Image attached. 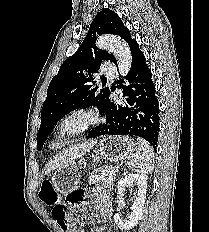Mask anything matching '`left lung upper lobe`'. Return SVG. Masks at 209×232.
Listing matches in <instances>:
<instances>
[{"label": "left lung upper lobe", "instance_id": "5c2ea615", "mask_svg": "<svg viewBox=\"0 0 209 232\" xmlns=\"http://www.w3.org/2000/svg\"><path fill=\"white\" fill-rule=\"evenodd\" d=\"M102 34L122 37L129 46L135 41L122 23L121 18L110 9L97 13L89 31L77 52L60 67L51 80L47 98L41 110V125L37 135V149H41L53 126L69 112L77 108L97 107L101 114L109 101V88L99 89L93 77L103 60L117 64L115 57L95 46Z\"/></svg>", "mask_w": 209, "mask_h": 232}]
</instances>
